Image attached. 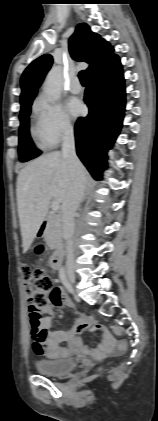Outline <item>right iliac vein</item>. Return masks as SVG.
I'll use <instances>...</instances> for the list:
<instances>
[{
    "mask_svg": "<svg viewBox=\"0 0 158 421\" xmlns=\"http://www.w3.org/2000/svg\"><path fill=\"white\" fill-rule=\"evenodd\" d=\"M67 275H68V278H69L70 282H71L72 284H74V283H75V281H76V275H75V273H74V269H73L72 267H69V268L67 269Z\"/></svg>",
    "mask_w": 158,
    "mask_h": 421,
    "instance_id": "63e3f726",
    "label": "right iliac vein"
}]
</instances>
